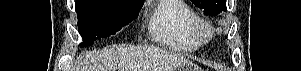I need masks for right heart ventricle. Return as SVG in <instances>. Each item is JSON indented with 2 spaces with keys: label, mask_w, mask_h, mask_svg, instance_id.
I'll return each instance as SVG.
<instances>
[{
  "label": "right heart ventricle",
  "mask_w": 301,
  "mask_h": 71,
  "mask_svg": "<svg viewBox=\"0 0 301 71\" xmlns=\"http://www.w3.org/2000/svg\"><path fill=\"white\" fill-rule=\"evenodd\" d=\"M195 16L194 11L184 1L162 0L149 13V37L170 49L195 51L201 45L191 30Z\"/></svg>",
  "instance_id": "e07e8e85"
}]
</instances>
